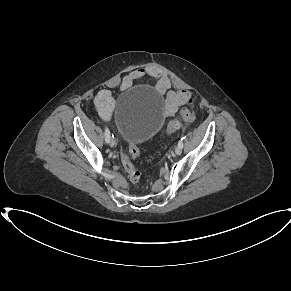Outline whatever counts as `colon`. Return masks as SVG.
<instances>
[{
	"label": "colon",
	"instance_id": "obj_1",
	"mask_svg": "<svg viewBox=\"0 0 291 291\" xmlns=\"http://www.w3.org/2000/svg\"><path fill=\"white\" fill-rule=\"evenodd\" d=\"M194 100L190 98L187 101V106H183L175 119H173L168 126V133L171 134L178 130L183 122H191L195 119V112L193 110ZM129 154L133 158L140 156V150L137 145L131 144L128 148ZM122 164L127 172L129 181L132 184H137L140 180V172L134 167L127 152L123 151L121 154Z\"/></svg>",
	"mask_w": 291,
	"mask_h": 291
}]
</instances>
